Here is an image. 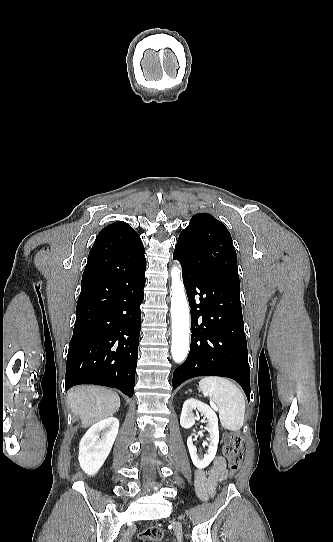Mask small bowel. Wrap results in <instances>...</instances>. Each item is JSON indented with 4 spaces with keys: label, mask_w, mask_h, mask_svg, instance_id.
Masks as SVG:
<instances>
[{
    "label": "small bowel",
    "mask_w": 333,
    "mask_h": 542,
    "mask_svg": "<svg viewBox=\"0 0 333 542\" xmlns=\"http://www.w3.org/2000/svg\"><path fill=\"white\" fill-rule=\"evenodd\" d=\"M226 478V461L223 456H216L212 461L207 473L202 469L195 471V490L197 496L203 500H209L216 493V487Z\"/></svg>",
    "instance_id": "obj_1"
}]
</instances>
